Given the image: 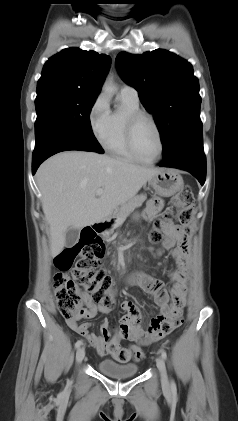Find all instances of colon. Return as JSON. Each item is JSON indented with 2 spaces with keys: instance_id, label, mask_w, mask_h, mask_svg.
<instances>
[{
  "instance_id": "1",
  "label": "colon",
  "mask_w": 238,
  "mask_h": 421,
  "mask_svg": "<svg viewBox=\"0 0 238 421\" xmlns=\"http://www.w3.org/2000/svg\"><path fill=\"white\" fill-rule=\"evenodd\" d=\"M172 204L176 210L175 214L172 210H166L162 218L154 222V228L150 233V240L154 243L161 241V230L173 217L185 236L191 234L190 223L195 206L191 189L188 186L184 187L173 197ZM103 253L104 246L101 239L92 233L84 232L77 244L63 249L55 257L54 263L58 269L53 281L55 300L58 309L67 320L79 318L84 313L88 300L108 307L113 305L111 295L113 281L100 267ZM182 322V312L174 311L172 316L161 324L159 330L144 343L159 340L179 327ZM113 355L119 363H127L131 360H142L144 352L140 346L118 347Z\"/></svg>"
}]
</instances>
